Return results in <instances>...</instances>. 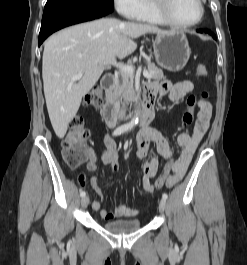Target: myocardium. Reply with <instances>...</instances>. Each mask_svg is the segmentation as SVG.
<instances>
[{"instance_id": "1", "label": "myocardium", "mask_w": 247, "mask_h": 265, "mask_svg": "<svg viewBox=\"0 0 247 265\" xmlns=\"http://www.w3.org/2000/svg\"><path fill=\"white\" fill-rule=\"evenodd\" d=\"M153 8L155 12L170 26L175 28H191L198 25L204 18L205 15V6L203 0H197L200 7L199 17L190 23H181L177 21L171 13V2L172 0H152Z\"/></svg>"}]
</instances>
